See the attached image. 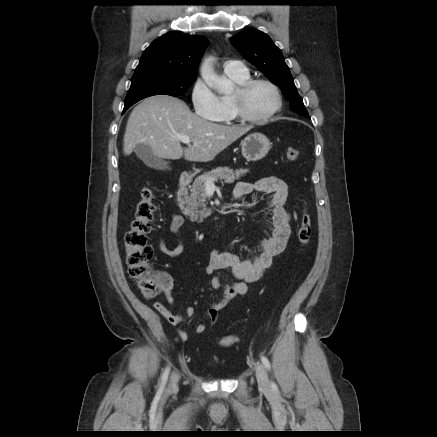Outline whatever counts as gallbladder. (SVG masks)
I'll list each match as a JSON object with an SVG mask.
<instances>
[{
    "label": "gallbladder",
    "instance_id": "1",
    "mask_svg": "<svg viewBox=\"0 0 437 437\" xmlns=\"http://www.w3.org/2000/svg\"><path fill=\"white\" fill-rule=\"evenodd\" d=\"M136 156L150 168L164 170L167 168V162L156 156L149 145L140 143L134 148Z\"/></svg>",
    "mask_w": 437,
    "mask_h": 437
}]
</instances>
